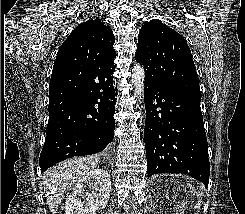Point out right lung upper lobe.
Returning <instances> with one entry per match:
<instances>
[{
  "mask_svg": "<svg viewBox=\"0 0 245 214\" xmlns=\"http://www.w3.org/2000/svg\"><path fill=\"white\" fill-rule=\"evenodd\" d=\"M114 42L112 29L101 19L78 25L57 53L49 95H79L91 85L97 70L115 69Z\"/></svg>",
  "mask_w": 245,
  "mask_h": 214,
  "instance_id": "right-lung-upper-lobe-1",
  "label": "right lung upper lobe"
}]
</instances>
